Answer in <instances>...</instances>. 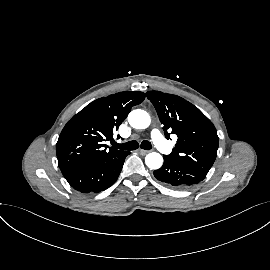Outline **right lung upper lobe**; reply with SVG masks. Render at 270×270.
Returning <instances> with one entry per match:
<instances>
[{"mask_svg": "<svg viewBox=\"0 0 270 270\" xmlns=\"http://www.w3.org/2000/svg\"><path fill=\"white\" fill-rule=\"evenodd\" d=\"M145 94L124 91L97 99L74 115L63 128L56 144L62 173L74 168L105 160L125 152L109 148L104 143L113 139L131 108L140 104Z\"/></svg>", "mask_w": 270, "mask_h": 270, "instance_id": "cb5924a9", "label": "right lung upper lobe"}]
</instances>
